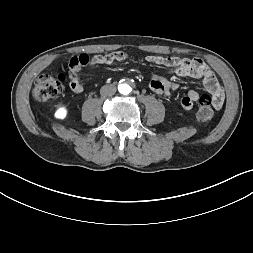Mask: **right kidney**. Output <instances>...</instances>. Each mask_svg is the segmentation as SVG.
I'll return each mask as SVG.
<instances>
[{
	"label": "right kidney",
	"mask_w": 253,
	"mask_h": 253,
	"mask_svg": "<svg viewBox=\"0 0 253 253\" xmlns=\"http://www.w3.org/2000/svg\"><path fill=\"white\" fill-rule=\"evenodd\" d=\"M67 116V109L65 107H60L55 112V117L58 119H65Z\"/></svg>",
	"instance_id": "ca27d5eb"
}]
</instances>
